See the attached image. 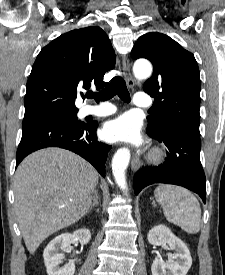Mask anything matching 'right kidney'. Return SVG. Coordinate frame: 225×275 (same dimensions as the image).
Returning a JSON list of instances; mask_svg holds the SVG:
<instances>
[{
  "mask_svg": "<svg viewBox=\"0 0 225 275\" xmlns=\"http://www.w3.org/2000/svg\"><path fill=\"white\" fill-rule=\"evenodd\" d=\"M91 239V233L88 229H79L74 233H63L56 236L46 246L43 257L48 275H74L75 260H69L63 267L60 266L64 254L60 250H65L70 247L74 241H79L81 244H87Z\"/></svg>",
  "mask_w": 225,
  "mask_h": 275,
  "instance_id": "1",
  "label": "right kidney"
}]
</instances>
